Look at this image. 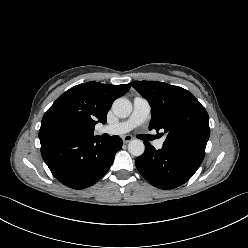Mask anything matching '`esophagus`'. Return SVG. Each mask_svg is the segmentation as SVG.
Returning a JSON list of instances; mask_svg holds the SVG:
<instances>
[{"mask_svg":"<svg viewBox=\"0 0 248 248\" xmlns=\"http://www.w3.org/2000/svg\"><path fill=\"white\" fill-rule=\"evenodd\" d=\"M124 143H129L133 140V137L131 135H125L122 137Z\"/></svg>","mask_w":248,"mask_h":248,"instance_id":"esophagus-1","label":"esophagus"}]
</instances>
